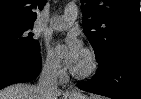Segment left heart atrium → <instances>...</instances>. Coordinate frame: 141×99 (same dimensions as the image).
Instances as JSON below:
<instances>
[{
	"mask_svg": "<svg viewBox=\"0 0 141 99\" xmlns=\"http://www.w3.org/2000/svg\"><path fill=\"white\" fill-rule=\"evenodd\" d=\"M63 46L66 64L71 68H76L85 53L83 44L76 36L70 35L63 40Z\"/></svg>",
	"mask_w": 141,
	"mask_h": 99,
	"instance_id": "39dd6f15",
	"label": "left heart atrium"
}]
</instances>
